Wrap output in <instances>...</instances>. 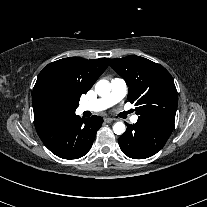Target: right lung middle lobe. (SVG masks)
Listing matches in <instances>:
<instances>
[{"label": "right lung middle lobe", "instance_id": "right-lung-middle-lobe-1", "mask_svg": "<svg viewBox=\"0 0 207 207\" xmlns=\"http://www.w3.org/2000/svg\"><path fill=\"white\" fill-rule=\"evenodd\" d=\"M43 108L51 115H65L75 112L78 103L70 101L54 88H48L41 97Z\"/></svg>", "mask_w": 207, "mask_h": 207}]
</instances>
